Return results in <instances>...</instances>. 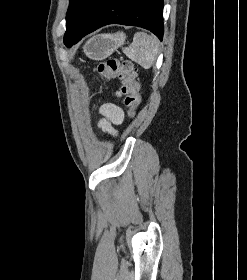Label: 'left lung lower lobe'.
<instances>
[{
	"mask_svg": "<svg viewBox=\"0 0 247 280\" xmlns=\"http://www.w3.org/2000/svg\"><path fill=\"white\" fill-rule=\"evenodd\" d=\"M163 5V0H101L75 34L64 36V44L71 47L85 35L108 24L142 27L162 40Z\"/></svg>",
	"mask_w": 247,
	"mask_h": 280,
	"instance_id": "obj_1",
	"label": "left lung lower lobe"
}]
</instances>
